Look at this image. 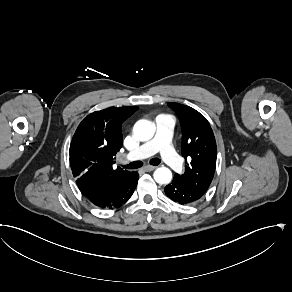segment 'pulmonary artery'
Masks as SVG:
<instances>
[{
  "label": "pulmonary artery",
  "mask_w": 292,
  "mask_h": 292,
  "mask_svg": "<svg viewBox=\"0 0 292 292\" xmlns=\"http://www.w3.org/2000/svg\"><path fill=\"white\" fill-rule=\"evenodd\" d=\"M159 129L153 140L142 148L137 147L131 152L133 159L140 160L143 157L148 158L160 150L162 158L174 170L179 171L183 168L184 163L175 154V146L172 141V127L175 124L174 119L167 113L158 116Z\"/></svg>",
  "instance_id": "1"
}]
</instances>
